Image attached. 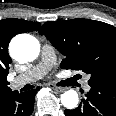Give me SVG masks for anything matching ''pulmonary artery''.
Instances as JSON below:
<instances>
[{
  "instance_id": "pulmonary-artery-1",
  "label": "pulmonary artery",
  "mask_w": 116,
  "mask_h": 116,
  "mask_svg": "<svg viewBox=\"0 0 116 116\" xmlns=\"http://www.w3.org/2000/svg\"><path fill=\"white\" fill-rule=\"evenodd\" d=\"M42 59L39 64L33 66L29 70H27L25 73L15 77L11 81V88L17 89L20 88L28 83L37 81L44 77L49 70L54 66L55 64V53L53 47L45 43L42 46ZM89 78H84V90L88 92L90 90V85L88 84Z\"/></svg>"
}]
</instances>
